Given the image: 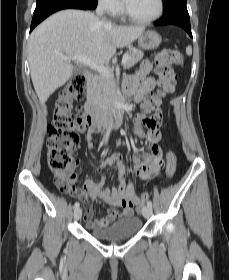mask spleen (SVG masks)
<instances>
[{"mask_svg":"<svg viewBox=\"0 0 229 280\" xmlns=\"http://www.w3.org/2000/svg\"><path fill=\"white\" fill-rule=\"evenodd\" d=\"M186 52H187V54H190V52H191V47L188 46V47L186 48Z\"/></svg>","mask_w":229,"mask_h":280,"instance_id":"3e777b00","label":"spleen"}]
</instances>
